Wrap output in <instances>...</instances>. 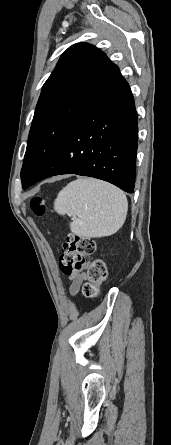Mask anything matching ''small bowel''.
I'll use <instances>...</instances> for the list:
<instances>
[{"label": "small bowel", "mask_w": 171, "mask_h": 445, "mask_svg": "<svg viewBox=\"0 0 171 445\" xmlns=\"http://www.w3.org/2000/svg\"><path fill=\"white\" fill-rule=\"evenodd\" d=\"M70 280L69 291L72 296H76L80 290V286L86 279V274L83 272H75L66 274Z\"/></svg>", "instance_id": "small-bowel-1"}]
</instances>
